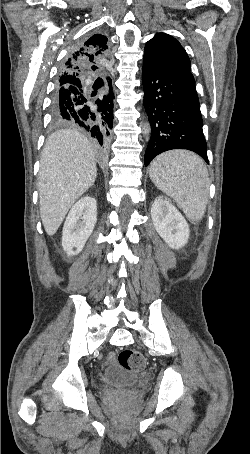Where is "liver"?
Here are the masks:
<instances>
[{
  "mask_svg": "<svg viewBox=\"0 0 250 454\" xmlns=\"http://www.w3.org/2000/svg\"><path fill=\"white\" fill-rule=\"evenodd\" d=\"M95 151L76 130L51 134L44 146L38 177L40 216L46 233L53 236L75 201L95 182Z\"/></svg>",
  "mask_w": 250,
  "mask_h": 454,
  "instance_id": "6515ba94",
  "label": "liver"
}]
</instances>
